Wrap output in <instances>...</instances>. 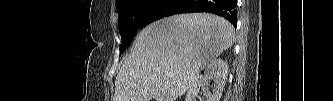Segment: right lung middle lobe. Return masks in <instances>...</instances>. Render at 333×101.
I'll return each mask as SVG.
<instances>
[{"label":"right lung middle lobe","instance_id":"right-lung-middle-lobe-1","mask_svg":"<svg viewBox=\"0 0 333 101\" xmlns=\"http://www.w3.org/2000/svg\"><path fill=\"white\" fill-rule=\"evenodd\" d=\"M160 0H119L116 2L118 26L122 38L120 54L129 46L137 31L144 27L150 10Z\"/></svg>","mask_w":333,"mask_h":101}]
</instances>
